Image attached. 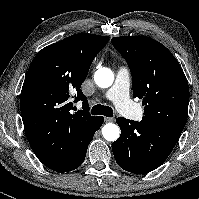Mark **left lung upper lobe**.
<instances>
[{
    "instance_id": "1",
    "label": "left lung upper lobe",
    "mask_w": 199,
    "mask_h": 199,
    "mask_svg": "<svg viewBox=\"0 0 199 199\" xmlns=\"http://www.w3.org/2000/svg\"><path fill=\"white\" fill-rule=\"evenodd\" d=\"M112 44L130 68L133 97L143 99L142 120L181 134L188 115L189 86L173 54L145 36L113 37Z\"/></svg>"
}]
</instances>
